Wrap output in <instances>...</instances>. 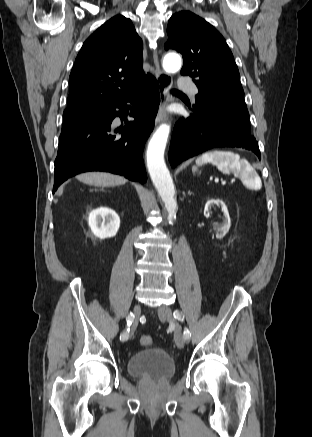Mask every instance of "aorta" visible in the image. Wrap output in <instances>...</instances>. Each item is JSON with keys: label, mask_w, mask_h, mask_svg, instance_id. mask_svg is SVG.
<instances>
[{"label": "aorta", "mask_w": 312, "mask_h": 437, "mask_svg": "<svg viewBox=\"0 0 312 437\" xmlns=\"http://www.w3.org/2000/svg\"><path fill=\"white\" fill-rule=\"evenodd\" d=\"M181 64V57L174 53L167 54L163 60V68L169 73L177 72L181 68ZM169 132L170 126L163 124L153 134L147 148V167L152 182L168 212V221L172 223L176 218L177 202L174 198V184L164 161Z\"/></svg>", "instance_id": "1"}]
</instances>
